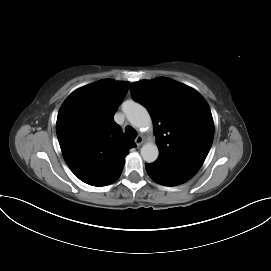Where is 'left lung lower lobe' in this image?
<instances>
[{"label": "left lung lower lobe", "mask_w": 271, "mask_h": 271, "mask_svg": "<svg viewBox=\"0 0 271 271\" xmlns=\"http://www.w3.org/2000/svg\"><path fill=\"white\" fill-rule=\"evenodd\" d=\"M148 175L155 182L165 186L182 184L192 178L199 169L158 158L154 163L145 164Z\"/></svg>", "instance_id": "obj_1"}]
</instances>
